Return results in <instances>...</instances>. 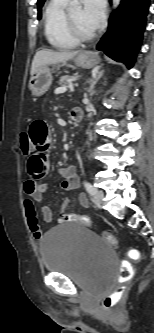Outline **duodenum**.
Returning <instances> with one entry per match:
<instances>
[{"mask_svg": "<svg viewBox=\"0 0 154 333\" xmlns=\"http://www.w3.org/2000/svg\"><path fill=\"white\" fill-rule=\"evenodd\" d=\"M84 116V111L81 108H73L70 113L71 120L77 124L81 122Z\"/></svg>", "mask_w": 154, "mask_h": 333, "instance_id": "410a0bca", "label": "duodenum"}]
</instances>
